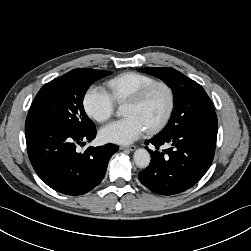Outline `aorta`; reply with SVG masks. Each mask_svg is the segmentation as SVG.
I'll return each instance as SVG.
<instances>
[{
	"label": "aorta",
	"instance_id": "obj_1",
	"mask_svg": "<svg viewBox=\"0 0 251 251\" xmlns=\"http://www.w3.org/2000/svg\"><path fill=\"white\" fill-rule=\"evenodd\" d=\"M117 116L123 115V108L119 107L117 112ZM150 154L146 149L140 148L134 152V162L139 168H146L150 164Z\"/></svg>",
	"mask_w": 251,
	"mask_h": 251
}]
</instances>
